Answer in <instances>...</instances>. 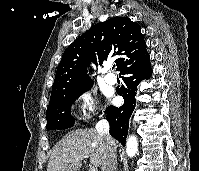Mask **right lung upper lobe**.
<instances>
[{
    "mask_svg": "<svg viewBox=\"0 0 199 171\" xmlns=\"http://www.w3.org/2000/svg\"><path fill=\"white\" fill-rule=\"evenodd\" d=\"M146 48L140 25L128 17L110 18L94 25L64 51L49 105L93 83L86 73L91 62L102 65L108 57L118 56L116 64L121 71L143 59L148 54Z\"/></svg>",
    "mask_w": 199,
    "mask_h": 171,
    "instance_id": "cb5924a9",
    "label": "right lung upper lobe"
}]
</instances>
